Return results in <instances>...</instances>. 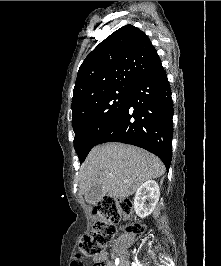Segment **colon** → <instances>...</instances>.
I'll use <instances>...</instances> for the list:
<instances>
[{"mask_svg": "<svg viewBox=\"0 0 221 266\" xmlns=\"http://www.w3.org/2000/svg\"><path fill=\"white\" fill-rule=\"evenodd\" d=\"M133 203L130 200L116 201L112 198H103L94 207L96 220L92 230L83 235L79 242V251L83 257L96 258L99 256L118 231L117 223L121 216L129 217ZM129 233L144 232L145 225L140 221H133L125 226ZM81 258V257H79ZM93 266H106L103 261H95Z\"/></svg>", "mask_w": 221, "mask_h": 266, "instance_id": "1", "label": "colon"}]
</instances>
